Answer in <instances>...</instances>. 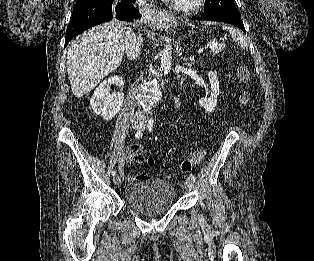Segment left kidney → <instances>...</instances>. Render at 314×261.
Here are the masks:
<instances>
[{"mask_svg": "<svg viewBox=\"0 0 314 261\" xmlns=\"http://www.w3.org/2000/svg\"><path fill=\"white\" fill-rule=\"evenodd\" d=\"M208 78L211 84V97L199 99L200 107L204 108L207 113H212L217 106V97L220 95L221 91L219 89L220 83L215 72L209 71Z\"/></svg>", "mask_w": 314, "mask_h": 261, "instance_id": "left-kidney-1", "label": "left kidney"}]
</instances>
